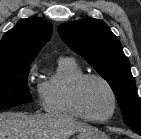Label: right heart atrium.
Returning a JSON list of instances; mask_svg holds the SVG:
<instances>
[{
	"instance_id": "1",
	"label": "right heart atrium",
	"mask_w": 141,
	"mask_h": 139,
	"mask_svg": "<svg viewBox=\"0 0 141 139\" xmlns=\"http://www.w3.org/2000/svg\"><path fill=\"white\" fill-rule=\"evenodd\" d=\"M35 69H36L35 65L32 64V65L30 66V69H29V74H30V75L34 74Z\"/></svg>"
}]
</instances>
